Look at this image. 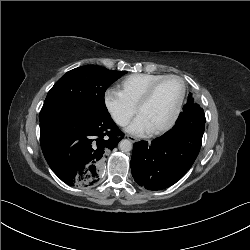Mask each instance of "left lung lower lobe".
<instances>
[{"label":"left lung lower lobe","instance_id":"left-lung-lower-lobe-1","mask_svg":"<svg viewBox=\"0 0 250 250\" xmlns=\"http://www.w3.org/2000/svg\"><path fill=\"white\" fill-rule=\"evenodd\" d=\"M204 124V111L192 98L171 130L151 143L136 142L131 158L135 182L148 190H161L181 179L199 154Z\"/></svg>","mask_w":250,"mask_h":250}]
</instances>
